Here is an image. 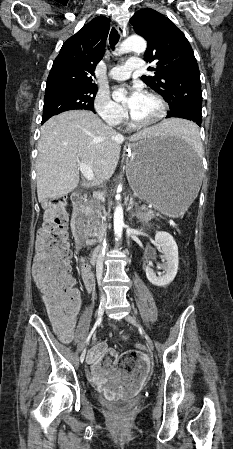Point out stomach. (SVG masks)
Wrapping results in <instances>:
<instances>
[{"instance_id": "stomach-1", "label": "stomach", "mask_w": 233, "mask_h": 449, "mask_svg": "<svg viewBox=\"0 0 233 449\" xmlns=\"http://www.w3.org/2000/svg\"><path fill=\"white\" fill-rule=\"evenodd\" d=\"M126 175L134 195L169 216L198 200L200 160L184 142L150 135L130 145Z\"/></svg>"}]
</instances>
